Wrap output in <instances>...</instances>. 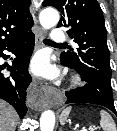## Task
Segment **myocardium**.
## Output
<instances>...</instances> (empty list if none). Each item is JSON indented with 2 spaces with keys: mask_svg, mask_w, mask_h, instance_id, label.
Listing matches in <instances>:
<instances>
[{
  "mask_svg": "<svg viewBox=\"0 0 117 131\" xmlns=\"http://www.w3.org/2000/svg\"><path fill=\"white\" fill-rule=\"evenodd\" d=\"M73 85H80L82 83L79 77H74L72 80Z\"/></svg>",
  "mask_w": 117,
  "mask_h": 131,
  "instance_id": "myocardium-1",
  "label": "myocardium"
}]
</instances>
